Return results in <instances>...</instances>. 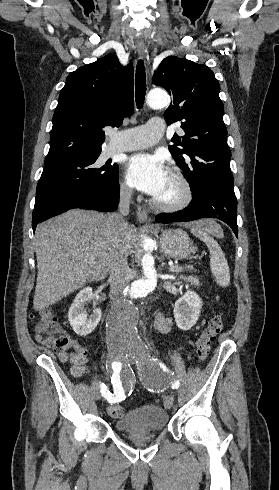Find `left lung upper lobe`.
<instances>
[{
    "label": "left lung upper lobe",
    "instance_id": "5c2ea615",
    "mask_svg": "<svg viewBox=\"0 0 279 490\" xmlns=\"http://www.w3.org/2000/svg\"><path fill=\"white\" fill-rule=\"evenodd\" d=\"M153 83L173 96L164 117L168 124L181 121L185 135L174 134L169 150L192 193L206 182L233 187L224 108L214 73L206 65L169 56L156 70Z\"/></svg>",
    "mask_w": 279,
    "mask_h": 490
}]
</instances>
